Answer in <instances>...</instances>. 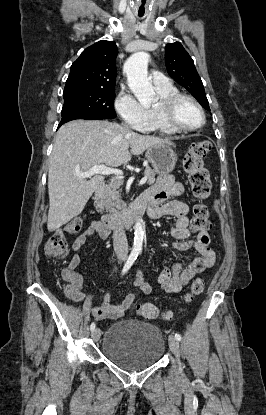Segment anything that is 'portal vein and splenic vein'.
I'll return each instance as SVG.
<instances>
[{"label":"portal vein and splenic vein","mask_w":266,"mask_h":415,"mask_svg":"<svg viewBox=\"0 0 266 415\" xmlns=\"http://www.w3.org/2000/svg\"><path fill=\"white\" fill-rule=\"evenodd\" d=\"M96 174H100V175H111V174H114V175H117V176H121L122 177L123 172H122V170H120L118 168L107 167L104 164H100V165L93 166L92 168H90L86 172H78V173H76V177H79V178H88V177H91V176L96 175ZM146 181H147V177H143L140 180L139 184L140 185H143V184L146 183Z\"/></svg>","instance_id":"1"}]
</instances>
